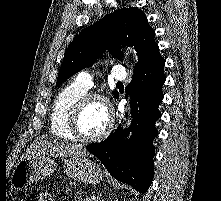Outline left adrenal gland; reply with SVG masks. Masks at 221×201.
Wrapping results in <instances>:
<instances>
[{
  "label": "left adrenal gland",
  "mask_w": 221,
  "mask_h": 201,
  "mask_svg": "<svg viewBox=\"0 0 221 201\" xmlns=\"http://www.w3.org/2000/svg\"><path fill=\"white\" fill-rule=\"evenodd\" d=\"M95 201H104V199L101 198V194H98Z\"/></svg>",
  "instance_id": "1"
}]
</instances>
